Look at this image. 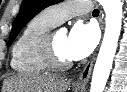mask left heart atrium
<instances>
[{"label":"left heart atrium","mask_w":127,"mask_h":92,"mask_svg":"<svg viewBox=\"0 0 127 92\" xmlns=\"http://www.w3.org/2000/svg\"><path fill=\"white\" fill-rule=\"evenodd\" d=\"M98 31L92 24L76 23L67 39V54L70 59L80 60L87 57L96 47Z\"/></svg>","instance_id":"obj_1"}]
</instances>
